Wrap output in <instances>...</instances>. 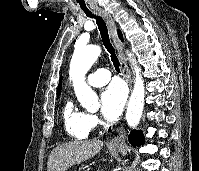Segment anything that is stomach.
<instances>
[{"mask_svg": "<svg viewBox=\"0 0 199 171\" xmlns=\"http://www.w3.org/2000/svg\"><path fill=\"white\" fill-rule=\"evenodd\" d=\"M111 151L113 152H117V151H120L121 150V147H115V148H109Z\"/></svg>", "mask_w": 199, "mask_h": 171, "instance_id": "obj_1", "label": "stomach"}]
</instances>
